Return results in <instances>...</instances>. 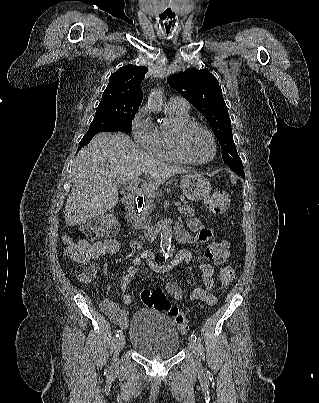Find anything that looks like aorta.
<instances>
[{
    "label": "aorta",
    "instance_id": "obj_1",
    "mask_svg": "<svg viewBox=\"0 0 319 403\" xmlns=\"http://www.w3.org/2000/svg\"><path fill=\"white\" fill-rule=\"evenodd\" d=\"M148 108L155 113L162 110L163 96L160 90L153 91L148 98ZM172 231L166 226L161 231L160 249L163 256L168 257L172 253Z\"/></svg>",
    "mask_w": 319,
    "mask_h": 403
}]
</instances>
